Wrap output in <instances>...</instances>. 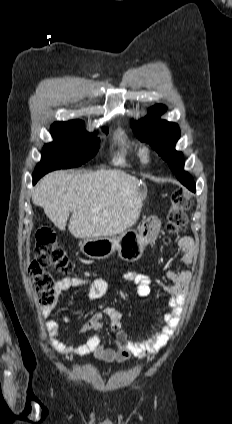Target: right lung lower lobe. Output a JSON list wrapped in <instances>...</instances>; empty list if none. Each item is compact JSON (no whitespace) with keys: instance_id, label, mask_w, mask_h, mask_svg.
<instances>
[{"instance_id":"right-lung-lower-lobe-1","label":"right lung lower lobe","mask_w":232,"mask_h":424,"mask_svg":"<svg viewBox=\"0 0 232 424\" xmlns=\"http://www.w3.org/2000/svg\"><path fill=\"white\" fill-rule=\"evenodd\" d=\"M41 177H33V184H35Z\"/></svg>"}]
</instances>
